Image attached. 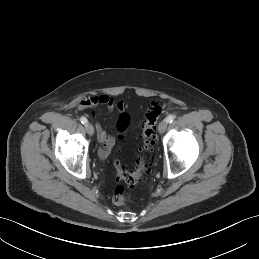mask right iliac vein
<instances>
[{
    "label": "right iliac vein",
    "instance_id": "obj_1",
    "mask_svg": "<svg viewBox=\"0 0 259 259\" xmlns=\"http://www.w3.org/2000/svg\"><path fill=\"white\" fill-rule=\"evenodd\" d=\"M86 131L90 136L94 134V128L90 123L86 124Z\"/></svg>",
    "mask_w": 259,
    "mask_h": 259
}]
</instances>
